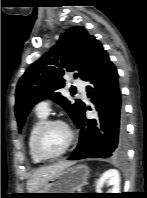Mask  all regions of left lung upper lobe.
Here are the masks:
<instances>
[{
  "label": "left lung upper lobe",
  "instance_id": "left-lung-upper-lobe-1",
  "mask_svg": "<svg viewBox=\"0 0 147 198\" xmlns=\"http://www.w3.org/2000/svg\"><path fill=\"white\" fill-rule=\"evenodd\" d=\"M95 37L83 26L66 30L49 53L33 63L21 77L16 89L15 114L19 129L24 125L31 108L47 97L55 100L76 123L82 109L80 100L71 103L56 90L64 87L65 71H79L85 80ZM77 77V74H75Z\"/></svg>",
  "mask_w": 147,
  "mask_h": 198
}]
</instances>
